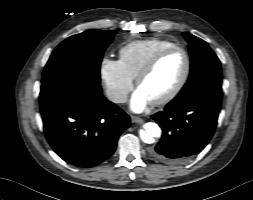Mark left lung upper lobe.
Segmentation results:
<instances>
[{"label": "left lung upper lobe", "mask_w": 253, "mask_h": 200, "mask_svg": "<svg viewBox=\"0 0 253 200\" xmlns=\"http://www.w3.org/2000/svg\"><path fill=\"white\" fill-rule=\"evenodd\" d=\"M188 42L191 70L188 81L174 100L184 101L204 90H222L221 63L202 39L183 33Z\"/></svg>", "instance_id": "5c2ea615"}]
</instances>
